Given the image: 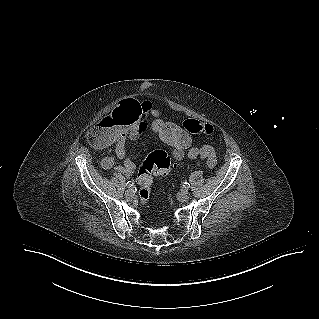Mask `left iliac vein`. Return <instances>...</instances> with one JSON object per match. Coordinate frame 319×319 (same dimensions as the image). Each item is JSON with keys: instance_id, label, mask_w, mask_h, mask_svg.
<instances>
[{"instance_id": "obj_1", "label": "left iliac vein", "mask_w": 319, "mask_h": 319, "mask_svg": "<svg viewBox=\"0 0 319 319\" xmlns=\"http://www.w3.org/2000/svg\"><path fill=\"white\" fill-rule=\"evenodd\" d=\"M177 198L181 202H186L189 200L190 196L188 194V191L184 190V191L178 193Z\"/></svg>"}]
</instances>
